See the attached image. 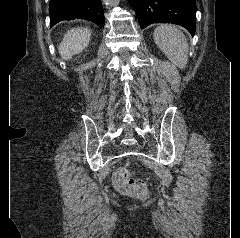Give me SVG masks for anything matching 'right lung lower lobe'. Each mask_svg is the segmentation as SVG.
<instances>
[{
  "label": "right lung lower lobe",
  "mask_w": 240,
  "mask_h": 238,
  "mask_svg": "<svg viewBox=\"0 0 240 238\" xmlns=\"http://www.w3.org/2000/svg\"><path fill=\"white\" fill-rule=\"evenodd\" d=\"M50 26L63 20L85 19L104 26V11L100 0H50Z\"/></svg>",
  "instance_id": "1"
}]
</instances>
